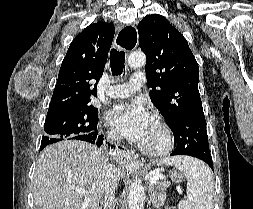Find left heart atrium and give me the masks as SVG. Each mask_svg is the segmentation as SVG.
<instances>
[{
	"label": "left heart atrium",
	"mask_w": 253,
	"mask_h": 209,
	"mask_svg": "<svg viewBox=\"0 0 253 209\" xmlns=\"http://www.w3.org/2000/svg\"><path fill=\"white\" fill-rule=\"evenodd\" d=\"M107 120L123 136L140 143L154 118L142 102L134 101L116 105L108 112Z\"/></svg>",
	"instance_id": "obj_1"
}]
</instances>
